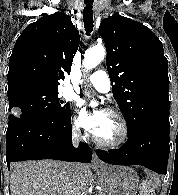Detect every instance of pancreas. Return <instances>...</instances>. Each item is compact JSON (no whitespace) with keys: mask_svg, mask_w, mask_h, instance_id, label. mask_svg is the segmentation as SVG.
<instances>
[{"mask_svg":"<svg viewBox=\"0 0 178 195\" xmlns=\"http://www.w3.org/2000/svg\"><path fill=\"white\" fill-rule=\"evenodd\" d=\"M99 195H104V194H103V192H100V194H99Z\"/></svg>","mask_w":178,"mask_h":195,"instance_id":"obj_1","label":"pancreas"}]
</instances>
